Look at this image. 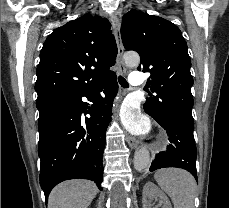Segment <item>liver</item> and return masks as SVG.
I'll use <instances>...</instances> for the list:
<instances>
[{
    "label": "liver",
    "instance_id": "liver-1",
    "mask_svg": "<svg viewBox=\"0 0 229 208\" xmlns=\"http://www.w3.org/2000/svg\"><path fill=\"white\" fill-rule=\"evenodd\" d=\"M98 188L88 180H68L53 188L48 198V208H88Z\"/></svg>",
    "mask_w": 229,
    "mask_h": 208
}]
</instances>
